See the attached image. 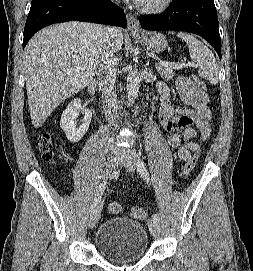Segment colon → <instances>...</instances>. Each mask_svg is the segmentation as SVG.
Returning <instances> with one entry per match:
<instances>
[{"label": "colon", "instance_id": "colon-1", "mask_svg": "<svg viewBox=\"0 0 253 271\" xmlns=\"http://www.w3.org/2000/svg\"><path fill=\"white\" fill-rule=\"evenodd\" d=\"M198 88L206 95V87L203 81L199 80L197 77H192ZM38 147L41 152L42 158L46 161H51L55 155L54 142L51 136L47 133H43L38 137ZM197 161V155L191 157L183 166L182 177L186 178L190 175ZM107 211L109 214H119L121 211V206L117 202H110L107 206ZM133 218L137 220H144L147 217V212L141 207H133L131 210Z\"/></svg>", "mask_w": 253, "mask_h": 271}]
</instances>
